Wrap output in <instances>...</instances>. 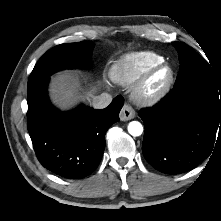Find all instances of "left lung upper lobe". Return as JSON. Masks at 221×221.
<instances>
[{"mask_svg": "<svg viewBox=\"0 0 221 221\" xmlns=\"http://www.w3.org/2000/svg\"><path fill=\"white\" fill-rule=\"evenodd\" d=\"M178 51L180 69L174 87L199 84L221 94V75H217L208 62L186 44L173 42Z\"/></svg>", "mask_w": 221, "mask_h": 221, "instance_id": "left-lung-upper-lobe-1", "label": "left lung upper lobe"}]
</instances>
